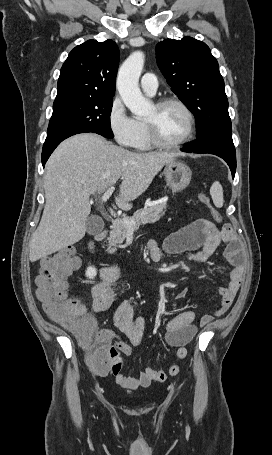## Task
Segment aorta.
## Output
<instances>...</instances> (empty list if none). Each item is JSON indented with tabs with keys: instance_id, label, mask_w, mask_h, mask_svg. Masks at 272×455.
Returning <instances> with one entry per match:
<instances>
[{
	"instance_id": "aorta-1",
	"label": "aorta",
	"mask_w": 272,
	"mask_h": 455,
	"mask_svg": "<svg viewBox=\"0 0 272 455\" xmlns=\"http://www.w3.org/2000/svg\"><path fill=\"white\" fill-rule=\"evenodd\" d=\"M145 61L141 51L133 52L122 64L117 76V89L126 107L136 116H147L153 108L139 88V77Z\"/></svg>"
}]
</instances>
